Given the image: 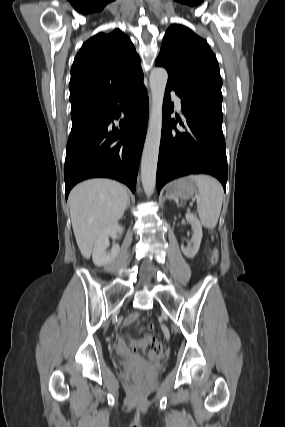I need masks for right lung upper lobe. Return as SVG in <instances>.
<instances>
[{
    "label": "right lung upper lobe",
    "instance_id": "1",
    "mask_svg": "<svg viewBox=\"0 0 285 427\" xmlns=\"http://www.w3.org/2000/svg\"><path fill=\"white\" fill-rule=\"evenodd\" d=\"M143 78L141 61L121 30L101 32L80 48L71 68V113Z\"/></svg>",
    "mask_w": 285,
    "mask_h": 427
}]
</instances>
